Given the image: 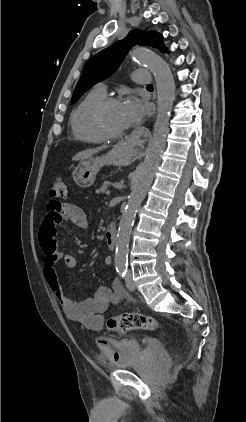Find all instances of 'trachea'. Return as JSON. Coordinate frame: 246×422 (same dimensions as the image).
<instances>
[{
	"instance_id": "1",
	"label": "trachea",
	"mask_w": 246,
	"mask_h": 422,
	"mask_svg": "<svg viewBox=\"0 0 246 422\" xmlns=\"http://www.w3.org/2000/svg\"><path fill=\"white\" fill-rule=\"evenodd\" d=\"M147 87H153V85L152 84H148Z\"/></svg>"
}]
</instances>
